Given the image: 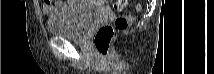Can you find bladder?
<instances>
[{
	"mask_svg": "<svg viewBox=\"0 0 214 74\" xmlns=\"http://www.w3.org/2000/svg\"><path fill=\"white\" fill-rule=\"evenodd\" d=\"M69 6L56 9L48 21L49 31L54 36L75 41H84L95 26L102 11L92 5V1H69Z\"/></svg>",
	"mask_w": 214,
	"mask_h": 74,
	"instance_id": "bladder-1",
	"label": "bladder"
}]
</instances>
